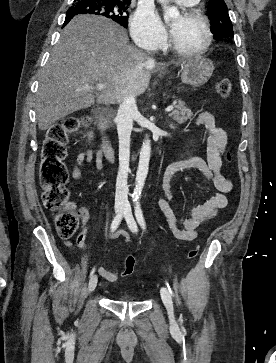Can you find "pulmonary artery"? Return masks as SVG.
I'll return each instance as SVG.
<instances>
[{"label": "pulmonary artery", "mask_w": 276, "mask_h": 363, "mask_svg": "<svg viewBox=\"0 0 276 363\" xmlns=\"http://www.w3.org/2000/svg\"><path fill=\"white\" fill-rule=\"evenodd\" d=\"M177 4L182 6H193L198 0H174Z\"/></svg>", "instance_id": "pulmonary-artery-1"}]
</instances>
